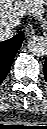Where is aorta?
<instances>
[{"label": "aorta", "mask_w": 47, "mask_h": 129, "mask_svg": "<svg viewBox=\"0 0 47 129\" xmlns=\"http://www.w3.org/2000/svg\"><path fill=\"white\" fill-rule=\"evenodd\" d=\"M28 50L37 57L47 55V39L42 36H34L28 41Z\"/></svg>", "instance_id": "aorta-1"}]
</instances>
